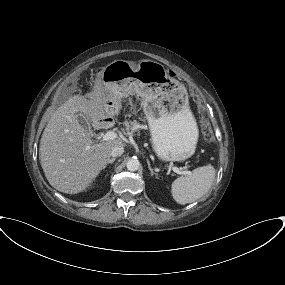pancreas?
I'll return each mask as SVG.
<instances>
[{"label": "pancreas", "instance_id": "cf45deb5", "mask_svg": "<svg viewBox=\"0 0 285 285\" xmlns=\"http://www.w3.org/2000/svg\"><path fill=\"white\" fill-rule=\"evenodd\" d=\"M124 126L126 128L127 132H134L137 131L138 129H145V125L140 124L137 120H126L124 123Z\"/></svg>", "mask_w": 285, "mask_h": 285}]
</instances>
